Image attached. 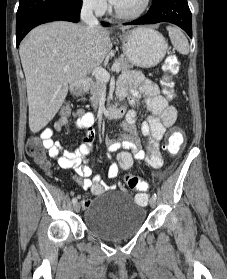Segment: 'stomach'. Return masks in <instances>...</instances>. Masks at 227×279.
Returning <instances> with one entry per match:
<instances>
[{
  "label": "stomach",
  "mask_w": 227,
  "mask_h": 279,
  "mask_svg": "<svg viewBox=\"0 0 227 279\" xmlns=\"http://www.w3.org/2000/svg\"><path fill=\"white\" fill-rule=\"evenodd\" d=\"M119 37L126 59L142 68L158 65L168 48L165 38L149 27H137L123 32Z\"/></svg>",
  "instance_id": "1"
}]
</instances>
